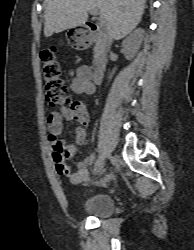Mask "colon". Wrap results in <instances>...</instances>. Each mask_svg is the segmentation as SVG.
<instances>
[{
    "label": "colon",
    "instance_id": "1",
    "mask_svg": "<svg viewBox=\"0 0 194 250\" xmlns=\"http://www.w3.org/2000/svg\"><path fill=\"white\" fill-rule=\"evenodd\" d=\"M44 93L47 101L60 109L73 106L54 47L41 52Z\"/></svg>",
    "mask_w": 194,
    "mask_h": 250
}]
</instances>
